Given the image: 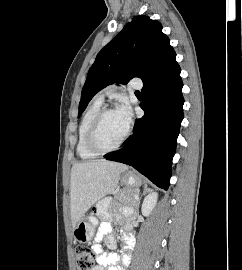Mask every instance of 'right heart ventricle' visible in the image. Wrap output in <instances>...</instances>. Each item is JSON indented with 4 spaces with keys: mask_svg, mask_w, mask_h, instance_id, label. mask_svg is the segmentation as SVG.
Wrapping results in <instances>:
<instances>
[{
    "mask_svg": "<svg viewBox=\"0 0 242 270\" xmlns=\"http://www.w3.org/2000/svg\"><path fill=\"white\" fill-rule=\"evenodd\" d=\"M102 109V102L95 100L84 113L80 122L77 141V154L83 160H89L95 158L98 154L92 152L86 145V136L88 129L96 117V115Z\"/></svg>",
    "mask_w": 242,
    "mask_h": 270,
    "instance_id": "obj_1",
    "label": "right heart ventricle"
}]
</instances>
